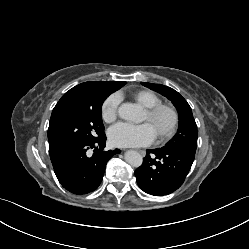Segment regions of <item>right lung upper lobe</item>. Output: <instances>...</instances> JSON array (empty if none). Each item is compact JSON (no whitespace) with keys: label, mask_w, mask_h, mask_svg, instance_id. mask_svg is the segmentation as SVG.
I'll list each match as a JSON object with an SVG mask.
<instances>
[{"label":"right lung upper lobe","mask_w":249,"mask_h":249,"mask_svg":"<svg viewBox=\"0 0 249 249\" xmlns=\"http://www.w3.org/2000/svg\"><path fill=\"white\" fill-rule=\"evenodd\" d=\"M126 82L123 81H93V82H84L81 83L68 92H66L62 98L58 101L56 106L52 111V115L50 118V123L54 120V118L66 108L81 103L84 100L85 95L94 90H108L109 92H114L124 86ZM50 125V124H49ZM56 151L50 150V154L55 153Z\"/></svg>","instance_id":"1"}]
</instances>
